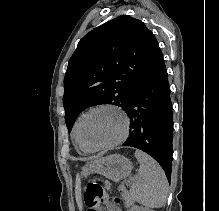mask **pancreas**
<instances>
[{"mask_svg": "<svg viewBox=\"0 0 219 211\" xmlns=\"http://www.w3.org/2000/svg\"><path fill=\"white\" fill-rule=\"evenodd\" d=\"M124 199H125V203H127V205H131V203H133V199L130 195V193H128V191H123L122 193Z\"/></svg>", "mask_w": 219, "mask_h": 211, "instance_id": "obj_1", "label": "pancreas"}]
</instances>
